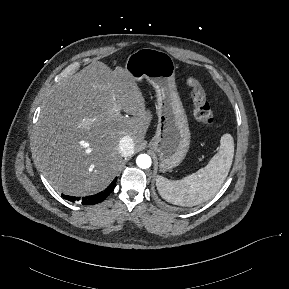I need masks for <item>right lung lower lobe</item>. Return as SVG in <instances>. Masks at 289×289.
I'll use <instances>...</instances> for the list:
<instances>
[{"instance_id": "98d812e1", "label": "right lung lower lobe", "mask_w": 289, "mask_h": 289, "mask_svg": "<svg viewBox=\"0 0 289 289\" xmlns=\"http://www.w3.org/2000/svg\"><path fill=\"white\" fill-rule=\"evenodd\" d=\"M116 181H117V178H115L105 190L95 195L83 197L82 199H80V197H72V196H66V195H62V196L66 200H69L72 202L81 200L82 204H86V205L96 204L104 200L113 191Z\"/></svg>"}]
</instances>
